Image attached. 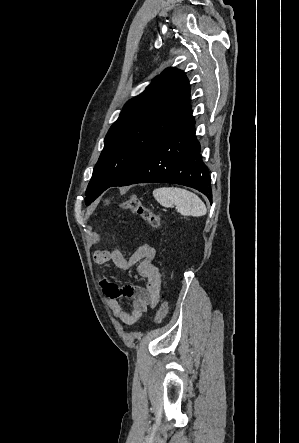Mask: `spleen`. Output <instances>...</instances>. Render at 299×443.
<instances>
[{"instance_id":"obj_1","label":"spleen","mask_w":299,"mask_h":443,"mask_svg":"<svg viewBox=\"0 0 299 443\" xmlns=\"http://www.w3.org/2000/svg\"><path fill=\"white\" fill-rule=\"evenodd\" d=\"M153 196L164 207L175 205L184 216L200 217L207 212L204 202L196 194L183 188H157L153 191Z\"/></svg>"}]
</instances>
